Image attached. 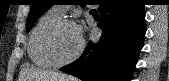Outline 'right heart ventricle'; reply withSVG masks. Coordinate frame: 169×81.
I'll return each instance as SVG.
<instances>
[{
	"label": "right heart ventricle",
	"instance_id": "obj_1",
	"mask_svg": "<svg viewBox=\"0 0 169 81\" xmlns=\"http://www.w3.org/2000/svg\"><path fill=\"white\" fill-rule=\"evenodd\" d=\"M62 16L53 10H49L42 15L33 27L28 41V56L33 64L42 68H51L54 64L48 59L44 52V38L47 31Z\"/></svg>",
	"mask_w": 169,
	"mask_h": 81
}]
</instances>
